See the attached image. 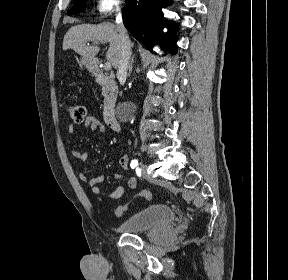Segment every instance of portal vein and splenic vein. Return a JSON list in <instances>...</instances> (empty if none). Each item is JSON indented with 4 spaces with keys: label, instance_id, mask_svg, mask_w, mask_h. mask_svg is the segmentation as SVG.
Wrapping results in <instances>:
<instances>
[{
    "label": "portal vein and splenic vein",
    "instance_id": "18ae733b",
    "mask_svg": "<svg viewBox=\"0 0 288 280\" xmlns=\"http://www.w3.org/2000/svg\"><path fill=\"white\" fill-rule=\"evenodd\" d=\"M95 44H98L99 42H94ZM104 69L106 70V71H108V70H111V63L110 62H106L105 64H104Z\"/></svg>",
    "mask_w": 288,
    "mask_h": 280
}]
</instances>
